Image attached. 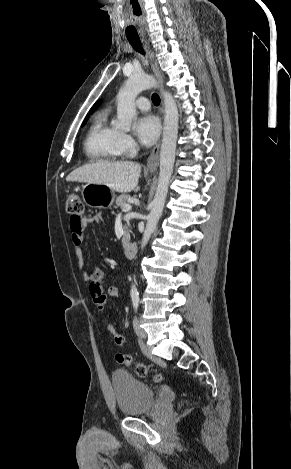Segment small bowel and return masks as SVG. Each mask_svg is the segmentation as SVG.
Here are the masks:
<instances>
[{
    "label": "small bowel",
    "instance_id": "obj_1",
    "mask_svg": "<svg viewBox=\"0 0 291 469\" xmlns=\"http://www.w3.org/2000/svg\"><path fill=\"white\" fill-rule=\"evenodd\" d=\"M100 220V215L80 219L74 217L70 218L69 226L71 231V239L75 246L77 264L80 268L84 266L83 251L81 249V244L84 239V230L90 223L99 222ZM84 277L89 282V290L93 298L98 296L100 293H103L101 282L105 279L106 273L102 268L95 267L91 272H86ZM94 288H99V292L94 291ZM108 295L113 298L118 297L120 295L119 287L115 285L110 286L108 289Z\"/></svg>",
    "mask_w": 291,
    "mask_h": 469
}]
</instances>
